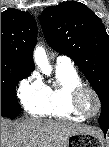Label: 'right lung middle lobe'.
Returning a JSON list of instances; mask_svg holds the SVG:
<instances>
[{"mask_svg":"<svg viewBox=\"0 0 109 147\" xmlns=\"http://www.w3.org/2000/svg\"><path fill=\"white\" fill-rule=\"evenodd\" d=\"M31 72L24 66L1 59V116L14 119L21 112L16 98V86Z\"/></svg>","mask_w":109,"mask_h":147,"instance_id":"dd1d6c3e","label":"right lung middle lobe"}]
</instances>
